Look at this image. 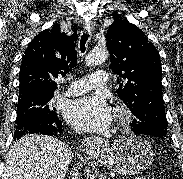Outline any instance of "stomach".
Returning <instances> with one entry per match:
<instances>
[{
  "instance_id": "1",
  "label": "stomach",
  "mask_w": 183,
  "mask_h": 179,
  "mask_svg": "<svg viewBox=\"0 0 183 179\" xmlns=\"http://www.w3.org/2000/svg\"><path fill=\"white\" fill-rule=\"evenodd\" d=\"M94 157L109 170L121 175H134L152 163L151 145L140 136L124 137L113 145L100 147Z\"/></svg>"
}]
</instances>
